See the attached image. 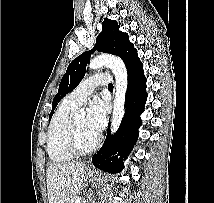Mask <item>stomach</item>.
<instances>
[{
    "instance_id": "obj_1",
    "label": "stomach",
    "mask_w": 214,
    "mask_h": 203,
    "mask_svg": "<svg viewBox=\"0 0 214 203\" xmlns=\"http://www.w3.org/2000/svg\"><path fill=\"white\" fill-rule=\"evenodd\" d=\"M85 173H86V176H88V177L94 176V170H92V169H87Z\"/></svg>"
}]
</instances>
